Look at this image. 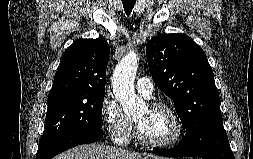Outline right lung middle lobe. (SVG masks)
<instances>
[{
	"mask_svg": "<svg viewBox=\"0 0 253 159\" xmlns=\"http://www.w3.org/2000/svg\"><path fill=\"white\" fill-rule=\"evenodd\" d=\"M104 96L105 91H88L48 98L46 126L38 150L71 132L101 129Z\"/></svg>",
	"mask_w": 253,
	"mask_h": 159,
	"instance_id": "dd1d6c3e",
	"label": "right lung middle lobe"
}]
</instances>
